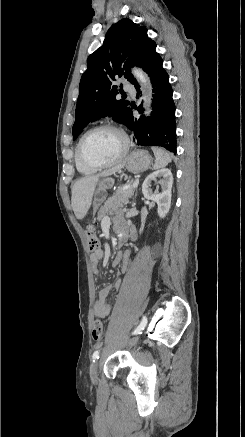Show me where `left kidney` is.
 <instances>
[{"instance_id": "obj_1", "label": "left kidney", "mask_w": 245, "mask_h": 437, "mask_svg": "<svg viewBox=\"0 0 245 437\" xmlns=\"http://www.w3.org/2000/svg\"><path fill=\"white\" fill-rule=\"evenodd\" d=\"M157 178L160 179L159 183L162 189L161 193L153 192L151 188L152 181L156 180ZM172 184L173 176L171 170L168 168H163L153 172L143 182L142 193L144 198L157 203V212L160 218H164L170 210Z\"/></svg>"}]
</instances>
